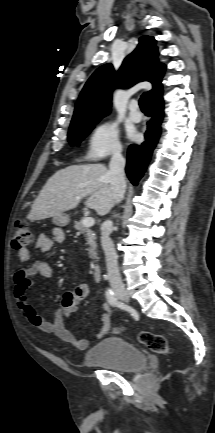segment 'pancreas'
Instances as JSON below:
<instances>
[{
    "instance_id": "1",
    "label": "pancreas",
    "mask_w": 215,
    "mask_h": 433,
    "mask_svg": "<svg viewBox=\"0 0 215 433\" xmlns=\"http://www.w3.org/2000/svg\"><path fill=\"white\" fill-rule=\"evenodd\" d=\"M74 228L78 230L80 233L84 234L87 240L88 245V254L90 258L96 259L97 258V244H96V234L94 231H92L89 227H86L83 225L82 221H75Z\"/></svg>"
}]
</instances>
